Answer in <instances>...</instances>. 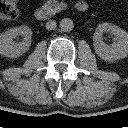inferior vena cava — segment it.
Instances as JSON below:
<instances>
[{
  "label": "inferior vena cava",
  "mask_w": 128,
  "mask_h": 128,
  "mask_svg": "<svg viewBox=\"0 0 128 128\" xmlns=\"http://www.w3.org/2000/svg\"><path fill=\"white\" fill-rule=\"evenodd\" d=\"M56 21H54V20H49L47 23H46V25H45V27H46V29H48V30H53V29H55L56 28Z\"/></svg>",
  "instance_id": "obj_1"
}]
</instances>
